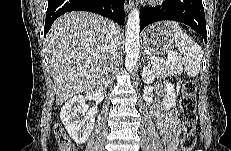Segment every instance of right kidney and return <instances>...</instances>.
Masks as SVG:
<instances>
[{"instance_id":"ca27d5eb","label":"right kidney","mask_w":231,"mask_h":151,"mask_svg":"<svg viewBox=\"0 0 231 151\" xmlns=\"http://www.w3.org/2000/svg\"><path fill=\"white\" fill-rule=\"evenodd\" d=\"M79 114L83 117L80 118ZM60 119L69 136L77 144L87 141L95 124L94 113L88 110L86 98L82 95L74 96L63 105Z\"/></svg>"}]
</instances>
